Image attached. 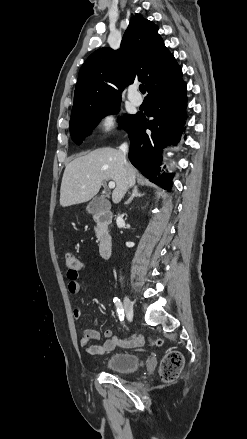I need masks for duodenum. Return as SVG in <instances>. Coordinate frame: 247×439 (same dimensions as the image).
Listing matches in <instances>:
<instances>
[{
	"instance_id": "duodenum-1",
	"label": "duodenum",
	"mask_w": 247,
	"mask_h": 439,
	"mask_svg": "<svg viewBox=\"0 0 247 439\" xmlns=\"http://www.w3.org/2000/svg\"><path fill=\"white\" fill-rule=\"evenodd\" d=\"M94 220L98 226L99 253L103 258H109L112 252V237L107 228L112 221L110 211H100L94 214Z\"/></svg>"
}]
</instances>
